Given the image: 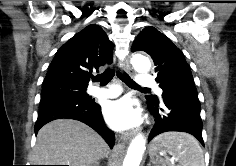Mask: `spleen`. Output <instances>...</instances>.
<instances>
[{
  "mask_svg": "<svg viewBox=\"0 0 236 166\" xmlns=\"http://www.w3.org/2000/svg\"><path fill=\"white\" fill-rule=\"evenodd\" d=\"M154 150L160 155L168 153L178 163L177 166H205L203 151L198 141L190 134L166 132L152 141ZM161 166H174L168 157L159 156Z\"/></svg>",
  "mask_w": 236,
  "mask_h": 166,
  "instance_id": "1",
  "label": "spleen"
}]
</instances>
